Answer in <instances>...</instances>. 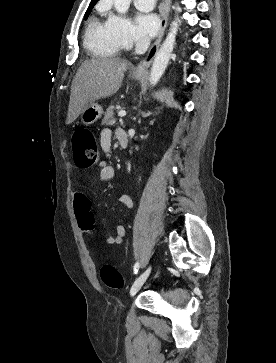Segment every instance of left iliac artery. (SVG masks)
I'll use <instances>...</instances> for the list:
<instances>
[{
  "label": "left iliac artery",
  "instance_id": "left-iliac-artery-1",
  "mask_svg": "<svg viewBox=\"0 0 276 363\" xmlns=\"http://www.w3.org/2000/svg\"><path fill=\"white\" fill-rule=\"evenodd\" d=\"M138 269H139V263L137 262V263L134 265V273H135V274H137Z\"/></svg>",
  "mask_w": 276,
  "mask_h": 363
}]
</instances>
